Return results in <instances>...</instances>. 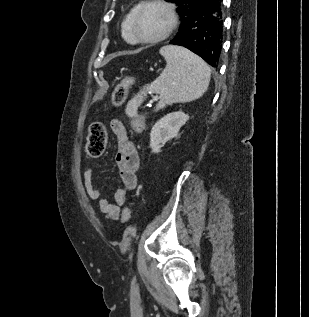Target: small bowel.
<instances>
[{
	"instance_id": "c3829d8e",
	"label": "small bowel",
	"mask_w": 309,
	"mask_h": 317,
	"mask_svg": "<svg viewBox=\"0 0 309 317\" xmlns=\"http://www.w3.org/2000/svg\"><path fill=\"white\" fill-rule=\"evenodd\" d=\"M108 125L117 142L115 161L119 170L122 186L114 195V202L102 198L101 191L95 186L94 171L88 168L83 174V182L87 194L91 199L99 201V208L108 219L118 220L122 214V208L127 202V192L134 190L138 185L137 172L140 159L136 145L131 140L127 128L122 121L110 119Z\"/></svg>"
}]
</instances>
